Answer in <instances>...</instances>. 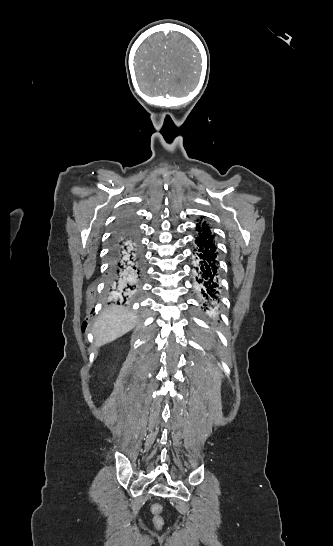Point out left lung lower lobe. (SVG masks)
Returning a JSON list of instances; mask_svg holds the SVG:
<instances>
[{
    "label": "left lung lower lobe",
    "mask_w": 333,
    "mask_h": 546,
    "mask_svg": "<svg viewBox=\"0 0 333 546\" xmlns=\"http://www.w3.org/2000/svg\"><path fill=\"white\" fill-rule=\"evenodd\" d=\"M199 236L196 237L198 250L197 263L194 265L197 293L202 299L203 309L208 314L217 312L219 299V268L217 262V247L214 235L205 222L197 224Z\"/></svg>",
    "instance_id": "1"
}]
</instances>
